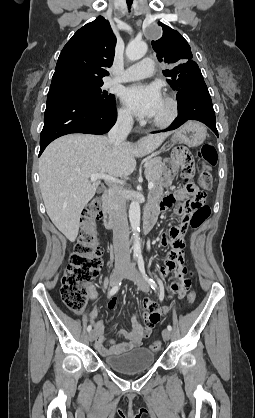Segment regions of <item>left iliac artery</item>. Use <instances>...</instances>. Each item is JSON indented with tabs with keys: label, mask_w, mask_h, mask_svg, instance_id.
<instances>
[{
	"label": "left iliac artery",
	"mask_w": 255,
	"mask_h": 418,
	"mask_svg": "<svg viewBox=\"0 0 255 418\" xmlns=\"http://www.w3.org/2000/svg\"><path fill=\"white\" fill-rule=\"evenodd\" d=\"M138 267H139V270H140L142 276L149 283V285L151 286V288L154 289V290L157 289V284L155 283V281L153 279L149 278L147 276L146 272H145L144 260H143V257L141 255L138 256ZM167 329L169 331H171L172 330V326L171 325H168L167 326Z\"/></svg>",
	"instance_id": "44dca946"
}]
</instances>
